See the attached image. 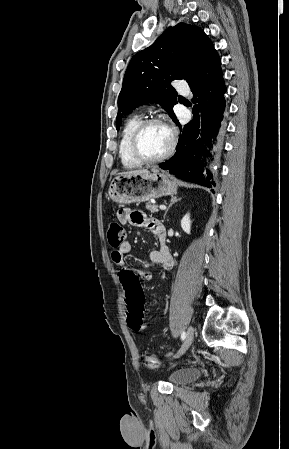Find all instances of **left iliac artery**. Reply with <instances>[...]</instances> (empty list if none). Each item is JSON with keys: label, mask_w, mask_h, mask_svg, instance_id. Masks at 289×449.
<instances>
[{"label": "left iliac artery", "mask_w": 289, "mask_h": 449, "mask_svg": "<svg viewBox=\"0 0 289 449\" xmlns=\"http://www.w3.org/2000/svg\"><path fill=\"white\" fill-rule=\"evenodd\" d=\"M185 337H186V333H185V331H183V332L181 333V339L184 340Z\"/></svg>", "instance_id": "left-iliac-artery-1"}]
</instances>
